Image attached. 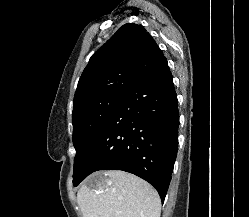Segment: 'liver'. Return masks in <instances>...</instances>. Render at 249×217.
Wrapping results in <instances>:
<instances>
[{
    "label": "liver",
    "instance_id": "1",
    "mask_svg": "<svg viewBox=\"0 0 249 217\" xmlns=\"http://www.w3.org/2000/svg\"><path fill=\"white\" fill-rule=\"evenodd\" d=\"M104 177L105 185L95 178ZM96 187L83 184L77 202L83 217H160L161 201L146 181L120 170L99 172L90 177Z\"/></svg>",
    "mask_w": 249,
    "mask_h": 217
}]
</instances>
